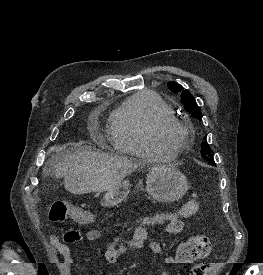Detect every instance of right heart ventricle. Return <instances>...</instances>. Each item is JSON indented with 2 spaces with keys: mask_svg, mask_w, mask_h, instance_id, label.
I'll list each match as a JSON object with an SVG mask.
<instances>
[{
  "mask_svg": "<svg viewBox=\"0 0 263 275\" xmlns=\"http://www.w3.org/2000/svg\"><path fill=\"white\" fill-rule=\"evenodd\" d=\"M174 116L172 108L155 92L130 96L110 116L109 140L115 150L145 159L171 158L173 154L157 149L150 131L161 118Z\"/></svg>",
  "mask_w": 263,
  "mask_h": 275,
  "instance_id": "e07e8e85",
  "label": "right heart ventricle"
}]
</instances>
